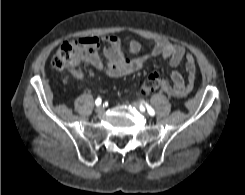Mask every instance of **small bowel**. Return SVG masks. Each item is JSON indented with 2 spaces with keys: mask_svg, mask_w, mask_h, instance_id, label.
<instances>
[{
  "mask_svg": "<svg viewBox=\"0 0 245 195\" xmlns=\"http://www.w3.org/2000/svg\"><path fill=\"white\" fill-rule=\"evenodd\" d=\"M103 40L106 43L103 47L96 37L81 38L80 44L84 49L86 60L105 75L113 78L123 77L141 69L149 59L161 57L169 62L172 80V83L163 80L161 89L175 98H183L192 91L196 77V62L185 47L159 39L153 43L150 53L128 58L119 38L107 36ZM141 49V43L136 40L127 46V51L131 54H138ZM182 60H185L186 80L176 70Z\"/></svg>",
  "mask_w": 245,
  "mask_h": 195,
  "instance_id": "1",
  "label": "small bowel"
}]
</instances>
